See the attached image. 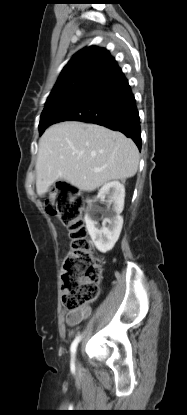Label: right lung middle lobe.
Here are the masks:
<instances>
[{
	"label": "right lung middle lobe",
	"mask_w": 187,
	"mask_h": 415,
	"mask_svg": "<svg viewBox=\"0 0 187 415\" xmlns=\"http://www.w3.org/2000/svg\"><path fill=\"white\" fill-rule=\"evenodd\" d=\"M62 99L52 104L49 108L44 109L41 114V119L39 123V133L40 135L45 131V129L50 126V115L56 108L60 105Z\"/></svg>",
	"instance_id": "1"
}]
</instances>
